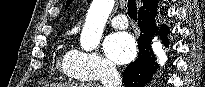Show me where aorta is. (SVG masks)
Masks as SVG:
<instances>
[{"mask_svg":"<svg viewBox=\"0 0 205 87\" xmlns=\"http://www.w3.org/2000/svg\"><path fill=\"white\" fill-rule=\"evenodd\" d=\"M113 6L114 0L92 1L80 36V45L84 50L91 51L99 45Z\"/></svg>","mask_w":205,"mask_h":87,"instance_id":"762f6f07","label":"aorta"}]
</instances>
